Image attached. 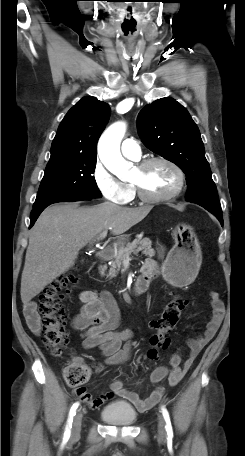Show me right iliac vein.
I'll list each match as a JSON object with an SVG mask.
<instances>
[{
  "mask_svg": "<svg viewBox=\"0 0 245 456\" xmlns=\"http://www.w3.org/2000/svg\"><path fill=\"white\" fill-rule=\"evenodd\" d=\"M82 417H83V414L81 411H78L74 417L72 428H71V439L72 440H76L80 436Z\"/></svg>",
  "mask_w": 245,
  "mask_h": 456,
  "instance_id": "63e3f726",
  "label": "right iliac vein"
}]
</instances>
